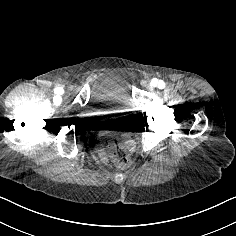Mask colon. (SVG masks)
I'll use <instances>...</instances> for the list:
<instances>
[{
    "label": "colon",
    "mask_w": 236,
    "mask_h": 236,
    "mask_svg": "<svg viewBox=\"0 0 236 236\" xmlns=\"http://www.w3.org/2000/svg\"><path fill=\"white\" fill-rule=\"evenodd\" d=\"M108 153L111 160L119 169H126L130 165V156L127 149L119 142L108 145Z\"/></svg>",
    "instance_id": "colon-1"
}]
</instances>
